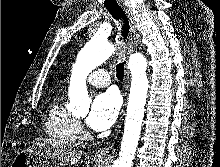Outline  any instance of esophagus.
I'll use <instances>...</instances> for the list:
<instances>
[{"label":"esophagus","mask_w":220,"mask_h":167,"mask_svg":"<svg viewBox=\"0 0 220 167\" xmlns=\"http://www.w3.org/2000/svg\"><path fill=\"white\" fill-rule=\"evenodd\" d=\"M125 12L129 18V24H130L128 53H127L128 55H130L135 50V48L138 46V44L140 42V34L137 29V25L134 21L133 13H132V10L130 9V7L126 6ZM129 81H130L129 70H128L127 66H125V77H124V85H123V96H124V105L123 106L126 105V96H127V91L129 89ZM122 118H123V116L121 114L120 120H119V125L117 127L116 134L113 138V141L106 148L101 149L98 152H96V154H95L96 160L102 161V160L107 159L110 156V151L114 145V141L117 139L118 134L120 132Z\"/></svg>","instance_id":"1"}]
</instances>
